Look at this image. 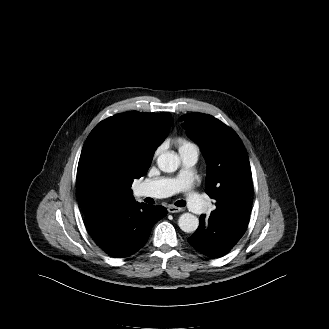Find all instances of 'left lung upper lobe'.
<instances>
[{
  "mask_svg": "<svg viewBox=\"0 0 329 329\" xmlns=\"http://www.w3.org/2000/svg\"><path fill=\"white\" fill-rule=\"evenodd\" d=\"M187 135L201 148L207 163L205 189L215 199L211 215L240 202H250L251 168L247 151L230 127L211 115L189 113L180 117ZM231 212V211H230Z\"/></svg>",
  "mask_w": 329,
  "mask_h": 329,
  "instance_id": "left-lung-upper-lobe-1",
  "label": "left lung upper lobe"
}]
</instances>
